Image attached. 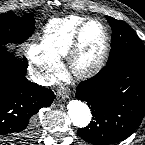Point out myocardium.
I'll list each match as a JSON object with an SVG mask.
<instances>
[{
  "mask_svg": "<svg viewBox=\"0 0 145 145\" xmlns=\"http://www.w3.org/2000/svg\"><path fill=\"white\" fill-rule=\"evenodd\" d=\"M96 23L100 26L103 36L104 44L99 57L89 65H80L79 59L82 54V36L84 30L89 24ZM110 35L107 27L98 19H87L77 28L70 51L67 55V68L71 75L78 79H87L102 70L105 66L110 53Z\"/></svg>",
  "mask_w": 145,
  "mask_h": 145,
  "instance_id": "myocardium-1",
  "label": "myocardium"
}]
</instances>
